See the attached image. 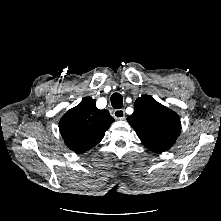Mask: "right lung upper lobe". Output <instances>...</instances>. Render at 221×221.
Segmentation results:
<instances>
[{"label":"right lung upper lobe","mask_w":221,"mask_h":221,"mask_svg":"<svg viewBox=\"0 0 221 221\" xmlns=\"http://www.w3.org/2000/svg\"><path fill=\"white\" fill-rule=\"evenodd\" d=\"M113 121L107 110L97 109L95 100L87 97L63 115L59 129L72 151L84 153L102 140Z\"/></svg>","instance_id":"obj_1"}]
</instances>
